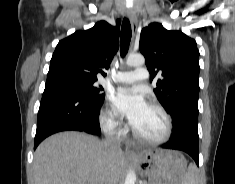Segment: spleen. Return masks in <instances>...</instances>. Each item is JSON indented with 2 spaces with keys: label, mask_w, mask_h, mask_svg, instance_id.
I'll return each mask as SVG.
<instances>
[{
  "label": "spleen",
  "mask_w": 235,
  "mask_h": 184,
  "mask_svg": "<svg viewBox=\"0 0 235 184\" xmlns=\"http://www.w3.org/2000/svg\"><path fill=\"white\" fill-rule=\"evenodd\" d=\"M197 182V168L194 164H190L187 172H185L182 184H196Z\"/></svg>",
  "instance_id": "spleen-1"
}]
</instances>
